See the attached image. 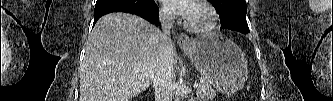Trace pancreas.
I'll return each mask as SVG.
<instances>
[{"mask_svg":"<svg viewBox=\"0 0 333 101\" xmlns=\"http://www.w3.org/2000/svg\"><path fill=\"white\" fill-rule=\"evenodd\" d=\"M196 95L203 101H211L215 96V91L210 83L203 79L197 88Z\"/></svg>","mask_w":333,"mask_h":101,"instance_id":"obj_1","label":"pancreas"}]
</instances>
